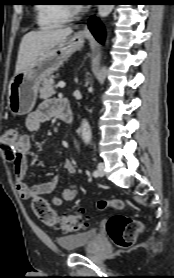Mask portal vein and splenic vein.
Returning a JSON list of instances; mask_svg holds the SVG:
<instances>
[{
	"label": "portal vein and splenic vein",
	"mask_w": 174,
	"mask_h": 278,
	"mask_svg": "<svg viewBox=\"0 0 174 278\" xmlns=\"http://www.w3.org/2000/svg\"><path fill=\"white\" fill-rule=\"evenodd\" d=\"M65 85H66V84H65L63 81H61V82L58 83V86H59L60 88H64Z\"/></svg>",
	"instance_id": "portal-vein-and-splenic-vein-1"
}]
</instances>
